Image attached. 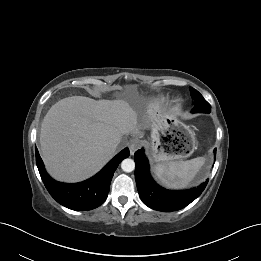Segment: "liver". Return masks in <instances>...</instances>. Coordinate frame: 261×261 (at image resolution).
<instances>
[{
	"label": "liver",
	"mask_w": 261,
	"mask_h": 261,
	"mask_svg": "<svg viewBox=\"0 0 261 261\" xmlns=\"http://www.w3.org/2000/svg\"><path fill=\"white\" fill-rule=\"evenodd\" d=\"M157 112V103L140 109L124 99L72 96L58 101L41 124V154L47 171L63 182L91 177L113 157L124 135L147 129Z\"/></svg>",
	"instance_id": "6515ba94"
}]
</instances>
